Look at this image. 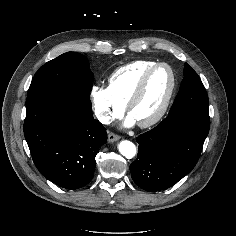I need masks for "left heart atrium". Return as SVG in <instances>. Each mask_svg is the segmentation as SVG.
Segmentation results:
<instances>
[{
    "instance_id": "obj_1",
    "label": "left heart atrium",
    "mask_w": 236,
    "mask_h": 236,
    "mask_svg": "<svg viewBox=\"0 0 236 236\" xmlns=\"http://www.w3.org/2000/svg\"><path fill=\"white\" fill-rule=\"evenodd\" d=\"M135 123H136V121L131 116H128L127 119L125 120V126H127V127H131Z\"/></svg>"
}]
</instances>
